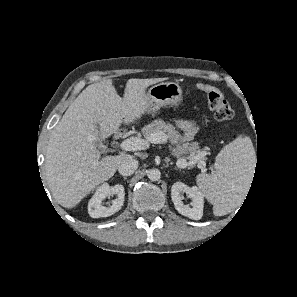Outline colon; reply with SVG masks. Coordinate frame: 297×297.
Here are the masks:
<instances>
[{
  "mask_svg": "<svg viewBox=\"0 0 297 297\" xmlns=\"http://www.w3.org/2000/svg\"><path fill=\"white\" fill-rule=\"evenodd\" d=\"M198 89L206 93L208 106L217 120L226 121L233 118L234 111L231 105L218 90L208 85L198 86Z\"/></svg>",
  "mask_w": 297,
  "mask_h": 297,
  "instance_id": "obj_1",
  "label": "colon"
}]
</instances>
